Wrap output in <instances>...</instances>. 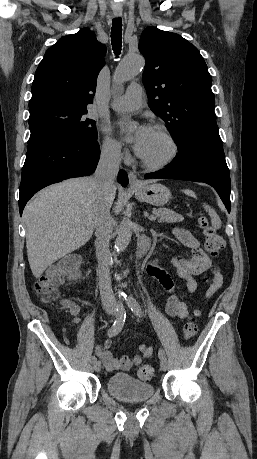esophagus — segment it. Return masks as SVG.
I'll return each mask as SVG.
<instances>
[{
    "label": "esophagus",
    "mask_w": 257,
    "mask_h": 459,
    "mask_svg": "<svg viewBox=\"0 0 257 459\" xmlns=\"http://www.w3.org/2000/svg\"><path fill=\"white\" fill-rule=\"evenodd\" d=\"M113 14H114L115 17H120L122 15V11L121 10H114ZM128 177H129L130 186H139L140 185V181L138 180L137 175L134 172H129L128 173Z\"/></svg>",
    "instance_id": "esophagus-1"
}]
</instances>
